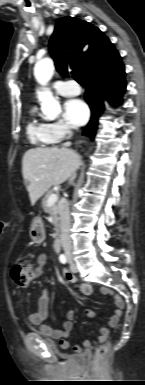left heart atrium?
Segmentation results:
<instances>
[{
	"mask_svg": "<svg viewBox=\"0 0 145 385\" xmlns=\"http://www.w3.org/2000/svg\"><path fill=\"white\" fill-rule=\"evenodd\" d=\"M65 118L75 126L86 123L89 117V108L81 99H70L65 103Z\"/></svg>",
	"mask_w": 145,
	"mask_h": 385,
	"instance_id": "1",
	"label": "left heart atrium"
}]
</instances>
